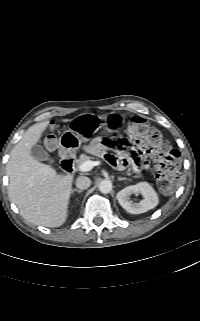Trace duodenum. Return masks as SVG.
<instances>
[{"label":"duodenum","instance_id":"duodenum-1","mask_svg":"<svg viewBox=\"0 0 200 321\" xmlns=\"http://www.w3.org/2000/svg\"><path fill=\"white\" fill-rule=\"evenodd\" d=\"M75 165L74 157L68 153H63L61 158V167L67 174L73 173Z\"/></svg>","mask_w":200,"mask_h":321}]
</instances>
